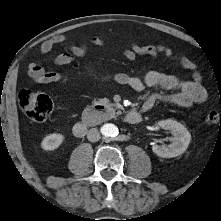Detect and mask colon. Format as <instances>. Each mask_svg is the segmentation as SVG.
Listing matches in <instances>:
<instances>
[{"label":"colon","instance_id":"colon-1","mask_svg":"<svg viewBox=\"0 0 221 221\" xmlns=\"http://www.w3.org/2000/svg\"><path fill=\"white\" fill-rule=\"evenodd\" d=\"M19 105L24 114L37 123L46 121L53 110V103L48 96L28 89L19 93ZM206 122L210 126L221 125L220 113L211 110L206 116Z\"/></svg>","mask_w":221,"mask_h":221}]
</instances>
